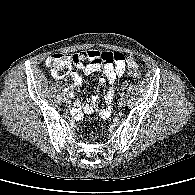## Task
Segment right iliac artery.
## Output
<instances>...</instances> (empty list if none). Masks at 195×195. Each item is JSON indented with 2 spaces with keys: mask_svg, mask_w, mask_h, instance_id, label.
<instances>
[{
  "mask_svg": "<svg viewBox=\"0 0 195 195\" xmlns=\"http://www.w3.org/2000/svg\"><path fill=\"white\" fill-rule=\"evenodd\" d=\"M64 92H67L68 91V89L67 88H64V90H63Z\"/></svg>",
  "mask_w": 195,
  "mask_h": 195,
  "instance_id": "right-iliac-artery-1",
  "label": "right iliac artery"
}]
</instances>
